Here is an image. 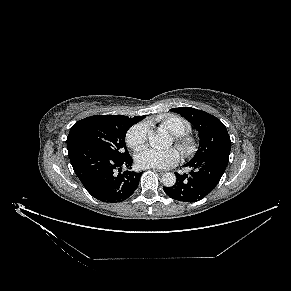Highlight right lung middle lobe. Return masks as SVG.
<instances>
[{"mask_svg": "<svg viewBox=\"0 0 291 291\" xmlns=\"http://www.w3.org/2000/svg\"><path fill=\"white\" fill-rule=\"evenodd\" d=\"M132 124L124 121H97L78 128L68 139L67 146L84 143L104 150L115 157L128 156L125 135Z\"/></svg>", "mask_w": 291, "mask_h": 291, "instance_id": "right-lung-middle-lobe-1", "label": "right lung middle lobe"}]
</instances>
